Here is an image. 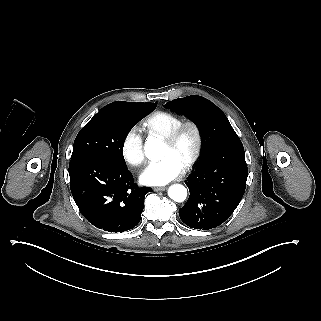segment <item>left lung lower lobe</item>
<instances>
[{"mask_svg":"<svg viewBox=\"0 0 321 321\" xmlns=\"http://www.w3.org/2000/svg\"><path fill=\"white\" fill-rule=\"evenodd\" d=\"M248 168L242 142L215 149L200 160L186 185L190 196L179 210L190 228L208 230L226 221L239 205L246 188Z\"/></svg>","mask_w":321,"mask_h":321,"instance_id":"0a47b994","label":"left lung lower lobe"}]
</instances>
